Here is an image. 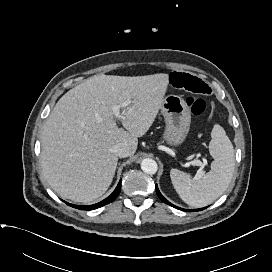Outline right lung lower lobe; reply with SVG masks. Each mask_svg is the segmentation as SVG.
<instances>
[{"instance_id":"right-lung-lower-lobe-1","label":"right lung lower lobe","mask_w":272,"mask_h":272,"mask_svg":"<svg viewBox=\"0 0 272 272\" xmlns=\"http://www.w3.org/2000/svg\"><path fill=\"white\" fill-rule=\"evenodd\" d=\"M120 189H121V181L118 183L116 189L114 190V192L109 196L107 197L106 199H104L103 201L97 203V204H94V205H89V206H80V205H73V204H69V203H66L74 208H77V209H81V210H93V209H97L99 207H102L110 202H112L113 200L116 199V197L119 195L120 193Z\"/></svg>"}]
</instances>
